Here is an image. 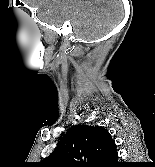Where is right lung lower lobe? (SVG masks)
<instances>
[{
    "instance_id": "right-lung-lower-lobe-1",
    "label": "right lung lower lobe",
    "mask_w": 155,
    "mask_h": 167,
    "mask_svg": "<svg viewBox=\"0 0 155 167\" xmlns=\"http://www.w3.org/2000/svg\"><path fill=\"white\" fill-rule=\"evenodd\" d=\"M125 166L123 163H118L115 167H123Z\"/></svg>"
}]
</instances>
